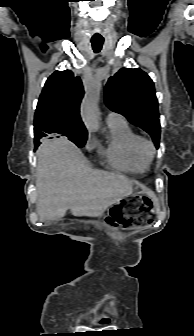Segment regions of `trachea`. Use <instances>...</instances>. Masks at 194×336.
<instances>
[{"label":"trachea","instance_id":"obj_1","mask_svg":"<svg viewBox=\"0 0 194 336\" xmlns=\"http://www.w3.org/2000/svg\"><path fill=\"white\" fill-rule=\"evenodd\" d=\"M103 40H92V48L95 53H99L103 46Z\"/></svg>","mask_w":194,"mask_h":336}]
</instances>
